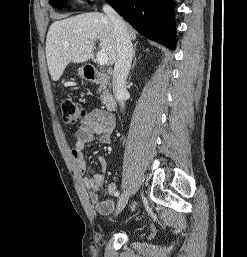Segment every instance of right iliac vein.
<instances>
[{"label": "right iliac vein", "instance_id": "63e3f726", "mask_svg": "<svg viewBox=\"0 0 247 257\" xmlns=\"http://www.w3.org/2000/svg\"><path fill=\"white\" fill-rule=\"evenodd\" d=\"M128 199H129L128 191H125L120 195L115 215H118L124 209V207L126 206V204L128 202Z\"/></svg>", "mask_w": 247, "mask_h": 257}]
</instances>
